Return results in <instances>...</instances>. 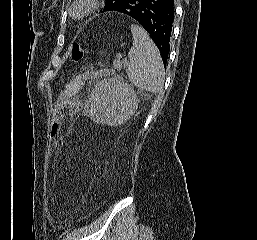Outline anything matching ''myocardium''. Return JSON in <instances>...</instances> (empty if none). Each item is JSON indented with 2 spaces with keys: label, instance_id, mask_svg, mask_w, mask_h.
Segmentation results:
<instances>
[{
  "label": "myocardium",
  "instance_id": "1",
  "mask_svg": "<svg viewBox=\"0 0 257 240\" xmlns=\"http://www.w3.org/2000/svg\"><path fill=\"white\" fill-rule=\"evenodd\" d=\"M96 7V0H76L70 6L69 11L74 19L81 20L91 14Z\"/></svg>",
  "mask_w": 257,
  "mask_h": 240
}]
</instances>
